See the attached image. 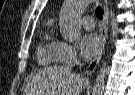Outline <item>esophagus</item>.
<instances>
[{
  "label": "esophagus",
  "instance_id": "1",
  "mask_svg": "<svg viewBox=\"0 0 135 95\" xmlns=\"http://www.w3.org/2000/svg\"><path fill=\"white\" fill-rule=\"evenodd\" d=\"M100 34H101V49L100 51L95 55V57L91 60V62L88 64L86 68V75L90 76L92 73L95 71L96 67L99 64V61L101 59V56L104 52L105 48V43H106V38L108 34V7H107V2H105L104 5V15L103 19L100 25Z\"/></svg>",
  "mask_w": 135,
  "mask_h": 95
}]
</instances>
